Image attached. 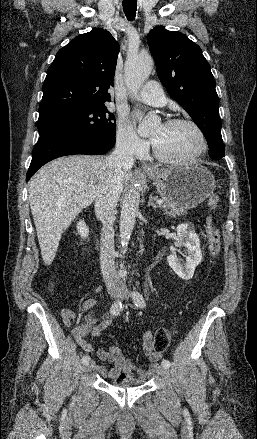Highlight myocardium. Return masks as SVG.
I'll return each mask as SVG.
<instances>
[{"instance_id": "myocardium-1", "label": "myocardium", "mask_w": 257, "mask_h": 439, "mask_svg": "<svg viewBox=\"0 0 257 439\" xmlns=\"http://www.w3.org/2000/svg\"><path fill=\"white\" fill-rule=\"evenodd\" d=\"M182 124L189 125L196 131V133L199 137V140H200V147H199L198 151L195 154H193L189 157H186V158L170 157V156L164 154L158 148L157 144L155 143V140L153 138H151L153 153L156 156V158H158L161 161L167 162V163L180 164V165H190V164H193L196 161H198L206 153L207 148H208L207 139H206V136H205L203 130L196 122H194L191 119H187V118H174V119H169L163 123V125H165V126H175V125H182Z\"/></svg>"}]
</instances>
